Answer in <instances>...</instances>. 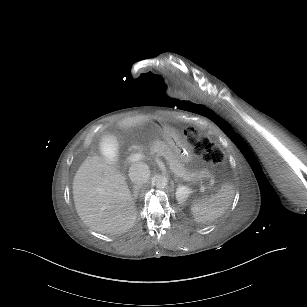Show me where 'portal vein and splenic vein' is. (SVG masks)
<instances>
[{
  "instance_id": "18ae733b",
  "label": "portal vein and splenic vein",
  "mask_w": 307,
  "mask_h": 307,
  "mask_svg": "<svg viewBox=\"0 0 307 307\" xmlns=\"http://www.w3.org/2000/svg\"><path fill=\"white\" fill-rule=\"evenodd\" d=\"M140 159V154L138 153V152H133V153H131L130 155H129V160L131 161V162H136V161H138ZM198 183H199V187H201L202 189L204 188L203 187V185H202V183H201V181H197ZM199 189L200 191L202 190V189ZM202 194L204 193L203 191L201 192Z\"/></svg>"
}]
</instances>
